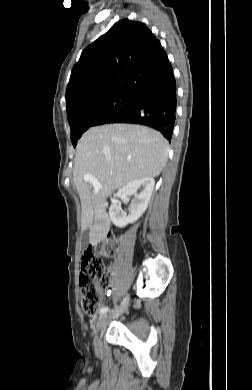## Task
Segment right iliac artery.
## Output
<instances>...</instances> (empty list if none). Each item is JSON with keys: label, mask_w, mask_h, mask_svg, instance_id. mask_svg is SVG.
<instances>
[{"label": "right iliac artery", "mask_w": 252, "mask_h": 390, "mask_svg": "<svg viewBox=\"0 0 252 390\" xmlns=\"http://www.w3.org/2000/svg\"><path fill=\"white\" fill-rule=\"evenodd\" d=\"M108 311H109V308H108V307H103V308L100 310V313H101V314H106Z\"/></svg>", "instance_id": "1"}]
</instances>
